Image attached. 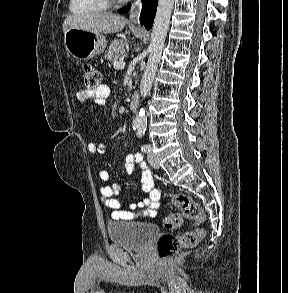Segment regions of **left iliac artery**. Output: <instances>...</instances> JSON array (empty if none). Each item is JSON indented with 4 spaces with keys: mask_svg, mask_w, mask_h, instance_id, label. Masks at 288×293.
<instances>
[{
    "mask_svg": "<svg viewBox=\"0 0 288 293\" xmlns=\"http://www.w3.org/2000/svg\"><path fill=\"white\" fill-rule=\"evenodd\" d=\"M144 133H145V130L144 131L140 130V129L137 130V136L139 138L142 137L144 135ZM141 150L145 153H148L151 151V146L148 144H144V145H142Z\"/></svg>",
    "mask_w": 288,
    "mask_h": 293,
    "instance_id": "44dca946",
    "label": "left iliac artery"
}]
</instances>
